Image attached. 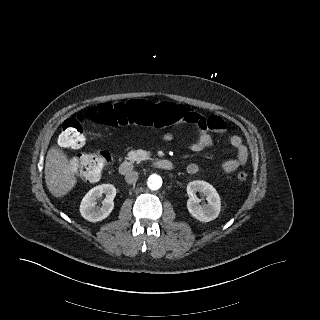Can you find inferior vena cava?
I'll return each instance as SVG.
<instances>
[{"label": "inferior vena cava", "mask_w": 320, "mask_h": 320, "mask_svg": "<svg viewBox=\"0 0 320 320\" xmlns=\"http://www.w3.org/2000/svg\"><path fill=\"white\" fill-rule=\"evenodd\" d=\"M137 179H138V172L136 171H129L125 176V180L128 184L136 183Z\"/></svg>", "instance_id": "1"}]
</instances>
